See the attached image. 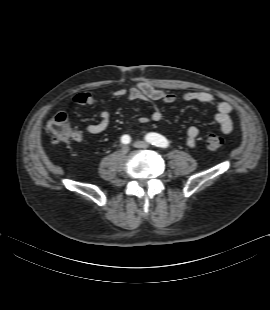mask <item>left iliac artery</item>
Here are the masks:
<instances>
[{"label":"left iliac artery","mask_w":270,"mask_h":310,"mask_svg":"<svg viewBox=\"0 0 270 310\" xmlns=\"http://www.w3.org/2000/svg\"><path fill=\"white\" fill-rule=\"evenodd\" d=\"M145 140L149 142L150 144L157 146V147L167 148L169 146L168 140L164 136L158 133L147 134L145 137Z\"/></svg>","instance_id":"44dca946"}]
</instances>
